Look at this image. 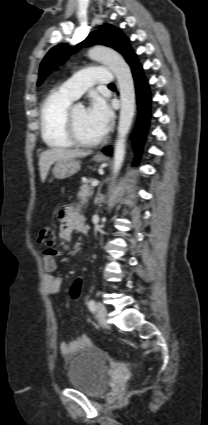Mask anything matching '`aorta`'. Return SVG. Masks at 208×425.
<instances>
[{"label":"aorta","instance_id":"aorta-1","mask_svg":"<svg viewBox=\"0 0 208 425\" xmlns=\"http://www.w3.org/2000/svg\"><path fill=\"white\" fill-rule=\"evenodd\" d=\"M88 57L107 65L117 78L121 106L118 136L113 158V172L117 174L124 161L126 137L132 125L135 112L136 94L134 80L129 65L116 51L107 47L95 46L88 51Z\"/></svg>","mask_w":208,"mask_h":425}]
</instances>
